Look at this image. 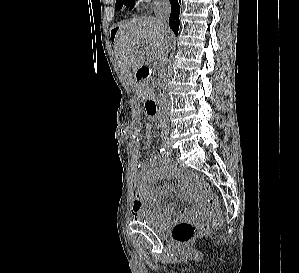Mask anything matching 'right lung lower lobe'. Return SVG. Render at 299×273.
I'll list each match as a JSON object with an SVG mask.
<instances>
[{"label": "right lung lower lobe", "mask_w": 299, "mask_h": 273, "mask_svg": "<svg viewBox=\"0 0 299 273\" xmlns=\"http://www.w3.org/2000/svg\"><path fill=\"white\" fill-rule=\"evenodd\" d=\"M180 2H181V0H170L171 15L169 18V26L173 30V32L176 34V36L178 33V29H179Z\"/></svg>", "instance_id": "98d812e1"}]
</instances>
